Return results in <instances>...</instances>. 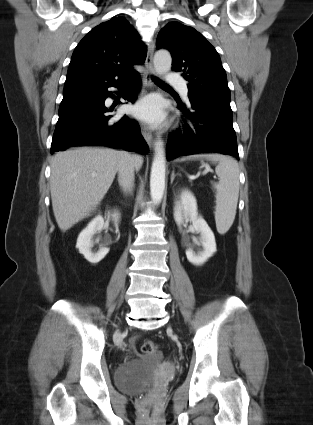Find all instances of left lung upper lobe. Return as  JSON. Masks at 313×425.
<instances>
[{"mask_svg":"<svg viewBox=\"0 0 313 425\" xmlns=\"http://www.w3.org/2000/svg\"><path fill=\"white\" fill-rule=\"evenodd\" d=\"M157 48L171 52L172 70L182 72L188 97H210L230 101L226 72L215 48L194 28L170 22L161 29Z\"/></svg>","mask_w":313,"mask_h":425,"instance_id":"1","label":"left lung upper lobe"}]
</instances>
